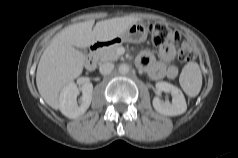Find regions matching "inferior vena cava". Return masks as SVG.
<instances>
[{
	"instance_id": "1",
	"label": "inferior vena cava",
	"mask_w": 238,
	"mask_h": 158,
	"mask_svg": "<svg viewBox=\"0 0 238 158\" xmlns=\"http://www.w3.org/2000/svg\"><path fill=\"white\" fill-rule=\"evenodd\" d=\"M113 69H114V64L110 62L102 63L99 67V71L103 75H107L111 73Z\"/></svg>"
}]
</instances>
